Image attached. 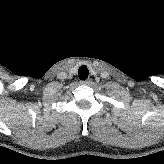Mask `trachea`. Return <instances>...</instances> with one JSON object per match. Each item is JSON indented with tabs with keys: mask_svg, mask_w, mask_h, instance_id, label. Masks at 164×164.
<instances>
[{
	"mask_svg": "<svg viewBox=\"0 0 164 164\" xmlns=\"http://www.w3.org/2000/svg\"><path fill=\"white\" fill-rule=\"evenodd\" d=\"M89 75V70L85 65H82L79 69H78V76L80 79L82 80H86L88 78Z\"/></svg>",
	"mask_w": 164,
	"mask_h": 164,
	"instance_id": "3493384b",
	"label": "trachea"
}]
</instances>
